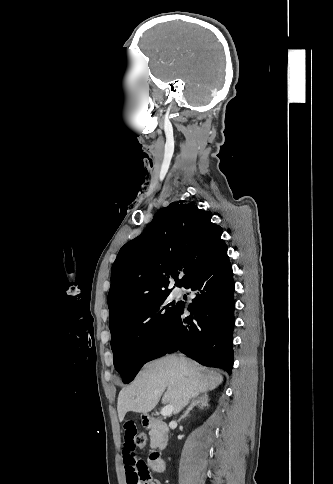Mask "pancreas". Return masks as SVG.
Instances as JSON below:
<instances>
[{
    "mask_svg": "<svg viewBox=\"0 0 333 484\" xmlns=\"http://www.w3.org/2000/svg\"><path fill=\"white\" fill-rule=\"evenodd\" d=\"M149 435L151 442L150 446L152 448L162 445V443L165 441L164 433L160 429H151Z\"/></svg>",
    "mask_w": 333,
    "mask_h": 484,
    "instance_id": "1",
    "label": "pancreas"
}]
</instances>
